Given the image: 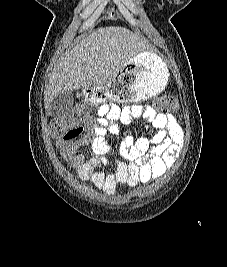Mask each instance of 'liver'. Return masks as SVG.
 <instances>
[{"mask_svg":"<svg viewBox=\"0 0 227 267\" xmlns=\"http://www.w3.org/2000/svg\"><path fill=\"white\" fill-rule=\"evenodd\" d=\"M144 42L123 27H105L93 31L52 72L45 91V108L65 91L102 87L137 54L144 52Z\"/></svg>","mask_w":227,"mask_h":267,"instance_id":"1","label":"liver"}]
</instances>
